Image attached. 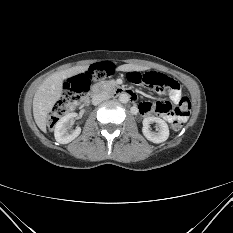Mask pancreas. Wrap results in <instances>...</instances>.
<instances>
[{
  "mask_svg": "<svg viewBox=\"0 0 233 233\" xmlns=\"http://www.w3.org/2000/svg\"><path fill=\"white\" fill-rule=\"evenodd\" d=\"M109 83H110V84H115V81H110Z\"/></svg>",
  "mask_w": 233,
  "mask_h": 233,
  "instance_id": "1",
  "label": "pancreas"
}]
</instances>
